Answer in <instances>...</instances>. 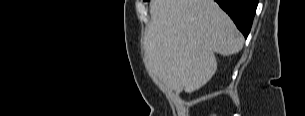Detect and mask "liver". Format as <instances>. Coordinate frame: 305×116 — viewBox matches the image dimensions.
Wrapping results in <instances>:
<instances>
[{"label": "liver", "mask_w": 305, "mask_h": 116, "mask_svg": "<svg viewBox=\"0 0 305 116\" xmlns=\"http://www.w3.org/2000/svg\"><path fill=\"white\" fill-rule=\"evenodd\" d=\"M144 39L150 75L192 93L217 70L214 53H237L244 39L214 0H153Z\"/></svg>", "instance_id": "1"}]
</instances>
